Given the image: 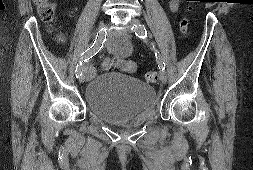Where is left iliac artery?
I'll use <instances>...</instances> for the list:
<instances>
[{"label":"left iliac artery","instance_id":"left-iliac-artery-1","mask_svg":"<svg viewBox=\"0 0 253 170\" xmlns=\"http://www.w3.org/2000/svg\"><path fill=\"white\" fill-rule=\"evenodd\" d=\"M132 30L135 32L136 36H138L139 38L145 39L147 37V30L143 24L134 25L132 27ZM154 51H155V57H156V61L158 63L159 69L165 70V63L162 57L160 56L157 50H154Z\"/></svg>","mask_w":253,"mask_h":170}]
</instances>
